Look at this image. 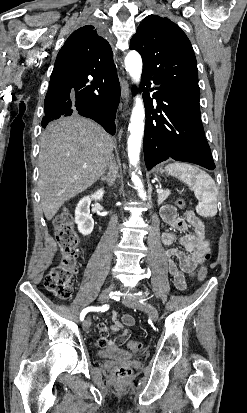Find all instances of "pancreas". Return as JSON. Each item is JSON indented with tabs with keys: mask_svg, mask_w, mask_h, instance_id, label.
<instances>
[{
	"mask_svg": "<svg viewBox=\"0 0 247 413\" xmlns=\"http://www.w3.org/2000/svg\"><path fill=\"white\" fill-rule=\"evenodd\" d=\"M169 194V190H165V192H158V204H162Z\"/></svg>",
	"mask_w": 247,
	"mask_h": 413,
	"instance_id": "1",
	"label": "pancreas"
}]
</instances>
